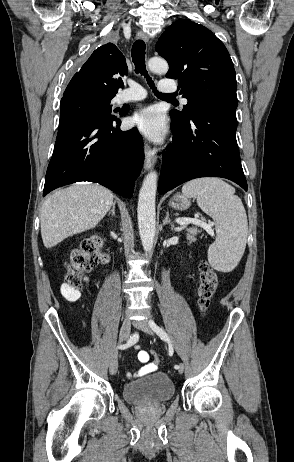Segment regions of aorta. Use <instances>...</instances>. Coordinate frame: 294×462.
<instances>
[{"label": "aorta", "instance_id": "aorta-1", "mask_svg": "<svg viewBox=\"0 0 294 462\" xmlns=\"http://www.w3.org/2000/svg\"><path fill=\"white\" fill-rule=\"evenodd\" d=\"M150 71L164 74L168 71V63L159 57H153L148 61ZM157 173L151 171L143 180L139 192L137 217L139 234L142 246L146 252H149L154 243L156 227L155 198L157 190Z\"/></svg>", "mask_w": 294, "mask_h": 462}]
</instances>
